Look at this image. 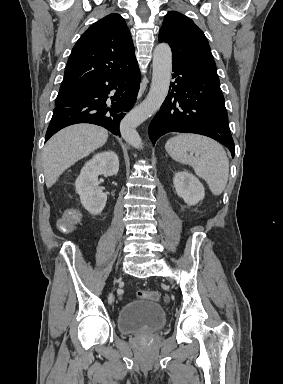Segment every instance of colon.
<instances>
[{
	"mask_svg": "<svg viewBox=\"0 0 283 384\" xmlns=\"http://www.w3.org/2000/svg\"><path fill=\"white\" fill-rule=\"evenodd\" d=\"M77 220H78L77 215L74 213H71L66 217V219H64L61 222V228L63 230H70L73 227V225L77 222ZM137 296L141 299H147L152 301H157L160 297L158 292L152 291V290H138Z\"/></svg>",
	"mask_w": 283,
	"mask_h": 384,
	"instance_id": "obj_1",
	"label": "colon"
}]
</instances>
